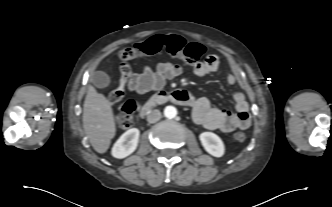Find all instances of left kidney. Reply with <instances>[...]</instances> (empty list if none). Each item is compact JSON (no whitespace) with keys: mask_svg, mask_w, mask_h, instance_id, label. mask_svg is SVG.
<instances>
[{"mask_svg":"<svg viewBox=\"0 0 332 207\" xmlns=\"http://www.w3.org/2000/svg\"><path fill=\"white\" fill-rule=\"evenodd\" d=\"M204 149L214 157H222L225 152L224 143L219 136L212 132H203L199 135Z\"/></svg>","mask_w":332,"mask_h":207,"instance_id":"1","label":"left kidney"}]
</instances>
